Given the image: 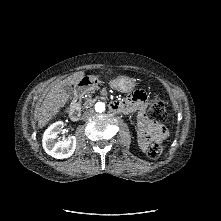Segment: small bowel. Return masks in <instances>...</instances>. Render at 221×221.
<instances>
[{
    "label": "small bowel",
    "mask_w": 221,
    "mask_h": 221,
    "mask_svg": "<svg viewBox=\"0 0 221 221\" xmlns=\"http://www.w3.org/2000/svg\"><path fill=\"white\" fill-rule=\"evenodd\" d=\"M124 104L127 107V113L135 112L137 114V139L143 151H146L152 142H159L167 137L166 128L161 123L149 119L146 109V95L143 91H134Z\"/></svg>",
    "instance_id": "obj_1"
}]
</instances>
